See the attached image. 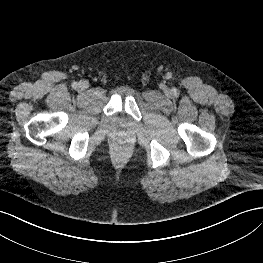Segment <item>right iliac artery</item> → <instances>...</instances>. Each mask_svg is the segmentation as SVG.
<instances>
[{
  "mask_svg": "<svg viewBox=\"0 0 263 263\" xmlns=\"http://www.w3.org/2000/svg\"><path fill=\"white\" fill-rule=\"evenodd\" d=\"M77 86H78L77 82H73V83H72V87H73V88H76Z\"/></svg>",
  "mask_w": 263,
  "mask_h": 263,
  "instance_id": "82829eb1",
  "label": "right iliac artery"
}]
</instances>
